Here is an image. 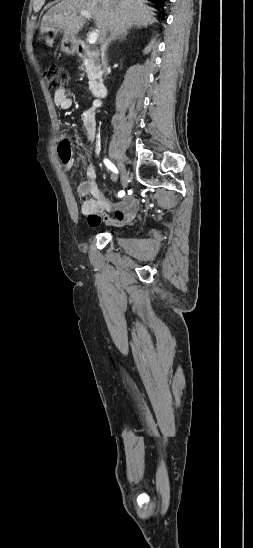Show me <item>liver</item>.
Masks as SVG:
<instances>
[{
  "label": "liver",
  "mask_w": 253,
  "mask_h": 548,
  "mask_svg": "<svg viewBox=\"0 0 253 548\" xmlns=\"http://www.w3.org/2000/svg\"><path fill=\"white\" fill-rule=\"evenodd\" d=\"M81 10L93 16L100 41L108 31L112 34L132 27H147L157 21L153 8L144 0H62L43 16L41 33L55 28L74 37L86 22L79 15Z\"/></svg>",
  "instance_id": "6515ba94"
}]
</instances>
